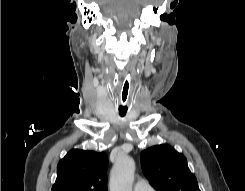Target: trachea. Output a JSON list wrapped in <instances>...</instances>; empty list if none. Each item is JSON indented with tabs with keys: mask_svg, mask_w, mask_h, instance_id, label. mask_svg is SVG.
<instances>
[{
	"mask_svg": "<svg viewBox=\"0 0 245 191\" xmlns=\"http://www.w3.org/2000/svg\"><path fill=\"white\" fill-rule=\"evenodd\" d=\"M131 90V77L126 75L123 80L120 92L119 115L125 116L129 109V95Z\"/></svg>",
	"mask_w": 245,
	"mask_h": 191,
	"instance_id": "trachea-1",
	"label": "trachea"
}]
</instances>
